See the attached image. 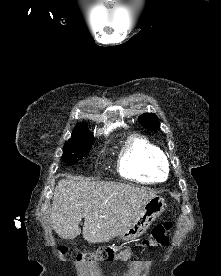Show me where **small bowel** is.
I'll return each mask as SVG.
<instances>
[{
  "mask_svg": "<svg viewBox=\"0 0 221 276\" xmlns=\"http://www.w3.org/2000/svg\"><path fill=\"white\" fill-rule=\"evenodd\" d=\"M131 256V252L130 253H127V254H121L119 259L120 260H126L128 259L129 257Z\"/></svg>",
  "mask_w": 221,
  "mask_h": 276,
  "instance_id": "1",
  "label": "small bowel"
}]
</instances>
